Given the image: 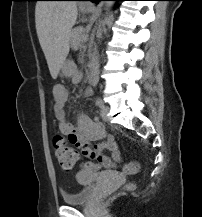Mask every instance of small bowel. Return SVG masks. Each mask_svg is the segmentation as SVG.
<instances>
[{"label":"small bowel","instance_id":"c3829d8e","mask_svg":"<svg viewBox=\"0 0 202 217\" xmlns=\"http://www.w3.org/2000/svg\"><path fill=\"white\" fill-rule=\"evenodd\" d=\"M82 80V72L76 71L72 75V82L78 84ZM92 88L85 90L86 96L90 95ZM69 96L68 89L63 85H56L53 89L55 101V118L61 133L68 136L69 141L80 147L86 157L97 159L107 170H114L121 161V155L113 135L106 134L103 125L97 118L91 119L83 113L77 116L76 124L67 119L65 105ZM97 142L93 146L91 142ZM104 150L112 153V158L103 155Z\"/></svg>","mask_w":202,"mask_h":217}]
</instances>
